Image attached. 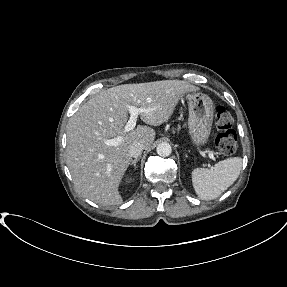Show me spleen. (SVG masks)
Wrapping results in <instances>:
<instances>
[{
	"label": "spleen",
	"instance_id": "spleen-1",
	"mask_svg": "<svg viewBox=\"0 0 287 287\" xmlns=\"http://www.w3.org/2000/svg\"><path fill=\"white\" fill-rule=\"evenodd\" d=\"M242 167L239 157L227 158L210 169L196 168L192 171V184L198 197L212 200L219 197L238 178Z\"/></svg>",
	"mask_w": 287,
	"mask_h": 287
}]
</instances>
